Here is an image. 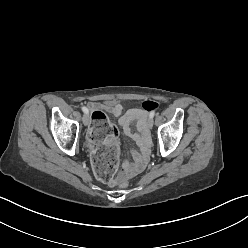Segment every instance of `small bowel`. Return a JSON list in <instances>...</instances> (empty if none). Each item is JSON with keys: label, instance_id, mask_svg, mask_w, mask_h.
I'll use <instances>...</instances> for the list:
<instances>
[{"label": "small bowel", "instance_id": "small-bowel-1", "mask_svg": "<svg viewBox=\"0 0 248 248\" xmlns=\"http://www.w3.org/2000/svg\"><path fill=\"white\" fill-rule=\"evenodd\" d=\"M88 107L92 112L103 109L117 117L124 136L132 139L139 147V150L131 151L134 162H130L129 160L123 162L121 176L132 177L140 172L146 164L149 150L147 113L140 109H128L124 111V107L121 104L114 103L113 101H107L103 104L90 103ZM132 124H136L138 132L132 131ZM108 142L115 143V136H110Z\"/></svg>", "mask_w": 248, "mask_h": 248}]
</instances>
